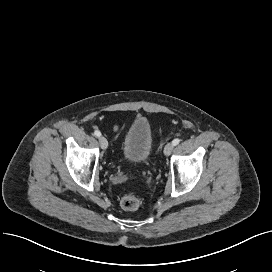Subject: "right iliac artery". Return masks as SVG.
I'll list each match as a JSON object with an SVG mask.
<instances>
[{"mask_svg": "<svg viewBox=\"0 0 272 272\" xmlns=\"http://www.w3.org/2000/svg\"><path fill=\"white\" fill-rule=\"evenodd\" d=\"M94 135H95L96 137H100V136H101V132L98 131V130H95V131H94Z\"/></svg>", "mask_w": 272, "mask_h": 272, "instance_id": "right-iliac-artery-1", "label": "right iliac artery"}]
</instances>
